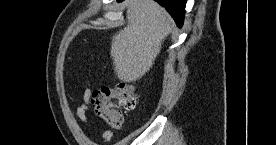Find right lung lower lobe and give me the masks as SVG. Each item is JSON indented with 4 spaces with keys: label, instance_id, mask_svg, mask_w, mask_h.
Masks as SVG:
<instances>
[{
    "label": "right lung lower lobe",
    "instance_id": "obj_1",
    "mask_svg": "<svg viewBox=\"0 0 276 145\" xmlns=\"http://www.w3.org/2000/svg\"><path fill=\"white\" fill-rule=\"evenodd\" d=\"M122 1V0H117ZM171 14L178 27L183 25L186 0H156Z\"/></svg>",
    "mask_w": 276,
    "mask_h": 145
}]
</instances>
